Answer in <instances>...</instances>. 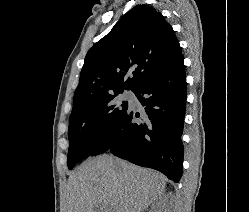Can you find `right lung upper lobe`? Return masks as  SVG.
Instances as JSON below:
<instances>
[{"mask_svg":"<svg viewBox=\"0 0 249 212\" xmlns=\"http://www.w3.org/2000/svg\"><path fill=\"white\" fill-rule=\"evenodd\" d=\"M181 55L174 31L162 14L137 5L88 51L73 108L124 89L135 91ZM127 73L133 77L124 81Z\"/></svg>","mask_w":249,"mask_h":212,"instance_id":"right-lung-upper-lobe-1","label":"right lung upper lobe"}]
</instances>
